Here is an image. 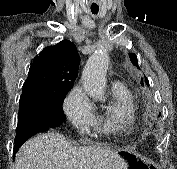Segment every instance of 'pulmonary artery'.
Returning a JSON list of instances; mask_svg holds the SVG:
<instances>
[{
  "label": "pulmonary artery",
  "instance_id": "pulmonary-artery-1",
  "mask_svg": "<svg viewBox=\"0 0 177 169\" xmlns=\"http://www.w3.org/2000/svg\"><path fill=\"white\" fill-rule=\"evenodd\" d=\"M124 87L123 83L120 81H114L113 83V89L118 90L122 89Z\"/></svg>",
  "mask_w": 177,
  "mask_h": 169
}]
</instances>
